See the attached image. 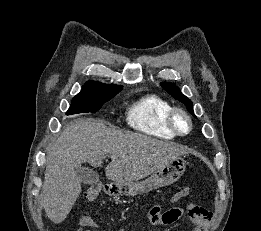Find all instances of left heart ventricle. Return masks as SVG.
Listing matches in <instances>:
<instances>
[{
	"mask_svg": "<svg viewBox=\"0 0 261 231\" xmlns=\"http://www.w3.org/2000/svg\"><path fill=\"white\" fill-rule=\"evenodd\" d=\"M178 126L182 131H186L188 129V123H187L186 119L183 117H179Z\"/></svg>",
	"mask_w": 261,
	"mask_h": 231,
	"instance_id": "obj_1",
	"label": "left heart ventricle"
}]
</instances>
